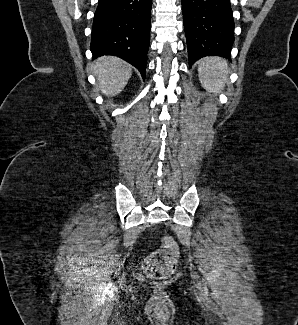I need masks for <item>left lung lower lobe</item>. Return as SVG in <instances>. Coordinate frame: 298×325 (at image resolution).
I'll return each mask as SVG.
<instances>
[{"label": "left lung lower lobe", "mask_w": 298, "mask_h": 325, "mask_svg": "<svg viewBox=\"0 0 298 325\" xmlns=\"http://www.w3.org/2000/svg\"><path fill=\"white\" fill-rule=\"evenodd\" d=\"M190 66L204 56L230 59L234 21L230 0H181Z\"/></svg>", "instance_id": "0a47b994"}]
</instances>
